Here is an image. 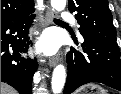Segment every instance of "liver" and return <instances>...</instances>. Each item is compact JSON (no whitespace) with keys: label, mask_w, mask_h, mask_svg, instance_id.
<instances>
[{"label":"liver","mask_w":121,"mask_h":94,"mask_svg":"<svg viewBox=\"0 0 121 94\" xmlns=\"http://www.w3.org/2000/svg\"><path fill=\"white\" fill-rule=\"evenodd\" d=\"M1 94H17V91L1 82Z\"/></svg>","instance_id":"6515ba94"}]
</instances>
